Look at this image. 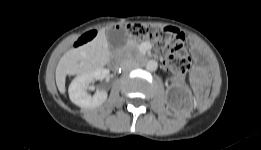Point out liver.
<instances>
[{
  "label": "liver",
  "instance_id": "1",
  "mask_svg": "<svg viewBox=\"0 0 261 150\" xmlns=\"http://www.w3.org/2000/svg\"><path fill=\"white\" fill-rule=\"evenodd\" d=\"M110 51L105 29L89 43L68 50L59 60L56 68V84L61 94L65 93V79L69 74L84 73L103 68L109 61Z\"/></svg>",
  "mask_w": 261,
  "mask_h": 150
}]
</instances>
